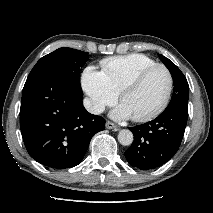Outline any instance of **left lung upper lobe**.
<instances>
[{"label":"left lung upper lobe","mask_w":213,"mask_h":213,"mask_svg":"<svg viewBox=\"0 0 213 213\" xmlns=\"http://www.w3.org/2000/svg\"><path fill=\"white\" fill-rule=\"evenodd\" d=\"M162 62L172 74L174 90L168 106H182L188 108L189 85L181 70L168 58L160 54Z\"/></svg>","instance_id":"1"}]
</instances>
